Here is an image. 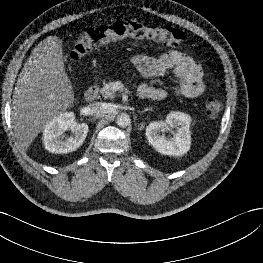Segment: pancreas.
<instances>
[{
	"mask_svg": "<svg viewBox=\"0 0 263 263\" xmlns=\"http://www.w3.org/2000/svg\"><path fill=\"white\" fill-rule=\"evenodd\" d=\"M114 82H108L99 90L100 94L105 98H115L116 90L113 88Z\"/></svg>",
	"mask_w": 263,
	"mask_h": 263,
	"instance_id": "1",
	"label": "pancreas"
}]
</instances>
